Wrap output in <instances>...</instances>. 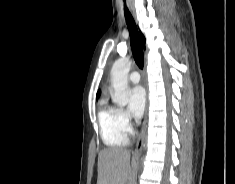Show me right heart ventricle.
<instances>
[{
    "mask_svg": "<svg viewBox=\"0 0 235 184\" xmlns=\"http://www.w3.org/2000/svg\"><path fill=\"white\" fill-rule=\"evenodd\" d=\"M97 121L101 139L106 146L100 157L102 160H107L129 143V137L120 125L116 108L101 105L98 109Z\"/></svg>",
    "mask_w": 235,
    "mask_h": 184,
    "instance_id": "e07e8e85",
    "label": "right heart ventricle"
}]
</instances>
